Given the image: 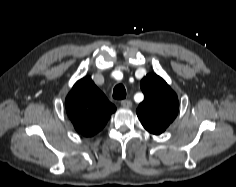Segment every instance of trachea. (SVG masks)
I'll return each mask as SVG.
<instances>
[{"label":"trachea","mask_w":236,"mask_h":187,"mask_svg":"<svg viewBox=\"0 0 236 187\" xmlns=\"http://www.w3.org/2000/svg\"><path fill=\"white\" fill-rule=\"evenodd\" d=\"M113 98H114V99H118V100H121V99H125V98H126V89H125L124 85H122V84H117V85L114 87V90H113Z\"/></svg>","instance_id":"trachea-1"}]
</instances>
